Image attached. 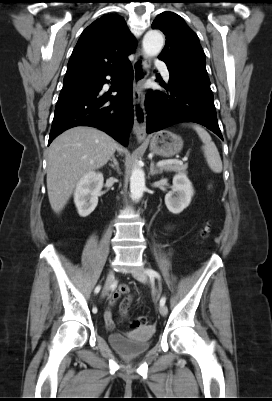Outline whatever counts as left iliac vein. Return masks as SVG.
Instances as JSON below:
<instances>
[{"label": "left iliac vein", "instance_id": "1", "mask_svg": "<svg viewBox=\"0 0 272 401\" xmlns=\"http://www.w3.org/2000/svg\"><path fill=\"white\" fill-rule=\"evenodd\" d=\"M133 277L140 282L145 283L147 281V274L142 268H138L133 272ZM159 312L162 316H166L168 313V309L165 305L159 306Z\"/></svg>", "mask_w": 272, "mask_h": 401}]
</instances>
